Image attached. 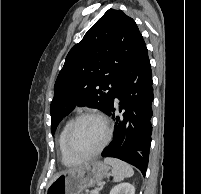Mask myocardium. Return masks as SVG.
I'll return each mask as SVG.
<instances>
[{
  "mask_svg": "<svg viewBox=\"0 0 201 194\" xmlns=\"http://www.w3.org/2000/svg\"><path fill=\"white\" fill-rule=\"evenodd\" d=\"M85 118H95L101 121L105 128V138L102 144L99 146V148L96 149L95 151L89 154H80L74 151V149L72 148L71 140H72V135L76 125L78 124L79 121ZM110 139H111V127L107 118L104 115L97 112H83L77 115L74 119H72L67 128L66 135H65V149L72 158L78 161L89 160L98 156L104 150V148L108 145V143L110 142Z\"/></svg>",
  "mask_w": 201,
  "mask_h": 194,
  "instance_id": "1",
  "label": "myocardium"
}]
</instances>
